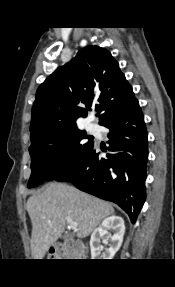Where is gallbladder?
I'll use <instances>...</instances> for the list:
<instances>
[{
    "mask_svg": "<svg viewBox=\"0 0 175 287\" xmlns=\"http://www.w3.org/2000/svg\"><path fill=\"white\" fill-rule=\"evenodd\" d=\"M72 237H74L73 234H71V233H66V234H64L63 239H68V238H72Z\"/></svg>",
    "mask_w": 175,
    "mask_h": 287,
    "instance_id": "obj_1",
    "label": "gallbladder"
}]
</instances>
